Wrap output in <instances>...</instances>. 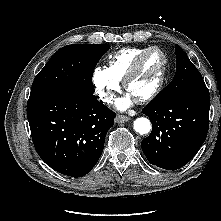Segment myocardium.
<instances>
[{
    "label": "myocardium",
    "mask_w": 221,
    "mask_h": 221,
    "mask_svg": "<svg viewBox=\"0 0 221 221\" xmlns=\"http://www.w3.org/2000/svg\"><path fill=\"white\" fill-rule=\"evenodd\" d=\"M152 51H157L161 54V56L163 58L162 68H161L157 83L154 86V88L150 92H148L147 94H145L141 97L135 98V101L138 103L147 102V101L153 99L162 90L163 85L165 83L167 68H168V57H167L166 53L161 48H159L157 46H151V47L146 48L133 61L131 67L129 68L128 72L126 73V75L123 79V87L126 91H128V86H129L130 82L138 74L145 58Z\"/></svg>",
    "instance_id": "f54148a6"
}]
</instances>
